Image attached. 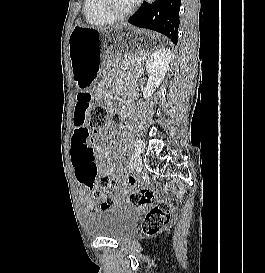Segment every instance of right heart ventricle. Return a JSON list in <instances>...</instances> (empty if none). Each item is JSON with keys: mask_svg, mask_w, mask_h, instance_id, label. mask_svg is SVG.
<instances>
[{"mask_svg": "<svg viewBox=\"0 0 265 273\" xmlns=\"http://www.w3.org/2000/svg\"><path fill=\"white\" fill-rule=\"evenodd\" d=\"M83 13L86 22L92 26H104L112 23L100 12L99 0H84Z\"/></svg>", "mask_w": 265, "mask_h": 273, "instance_id": "obj_1", "label": "right heart ventricle"}]
</instances>
